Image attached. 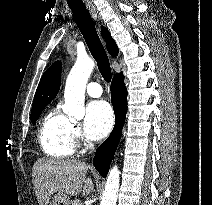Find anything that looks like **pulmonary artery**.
<instances>
[{
    "label": "pulmonary artery",
    "mask_w": 212,
    "mask_h": 205,
    "mask_svg": "<svg viewBox=\"0 0 212 205\" xmlns=\"http://www.w3.org/2000/svg\"><path fill=\"white\" fill-rule=\"evenodd\" d=\"M86 90L91 97H100L102 94V88L97 82H90L87 85Z\"/></svg>",
    "instance_id": "pulmonary-artery-1"
}]
</instances>
